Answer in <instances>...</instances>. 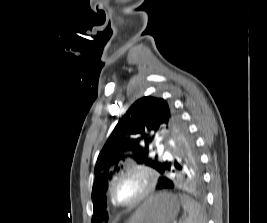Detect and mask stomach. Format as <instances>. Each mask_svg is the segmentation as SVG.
I'll list each match as a JSON object with an SVG mask.
<instances>
[{
  "mask_svg": "<svg viewBox=\"0 0 267 223\" xmlns=\"http://www.w3.org/2000/svg\"><path fill=\"white\" fill-rule=\"evenodd\" d=\"M179 210L180 200L176 195L159 192L145 200L128 223H173Z\"/></svg>",
  "mask_w": 267,
  "mask_h": 223,
  "instance_id": "obj_1",
  "label": "stomach"
}]
</instances>
